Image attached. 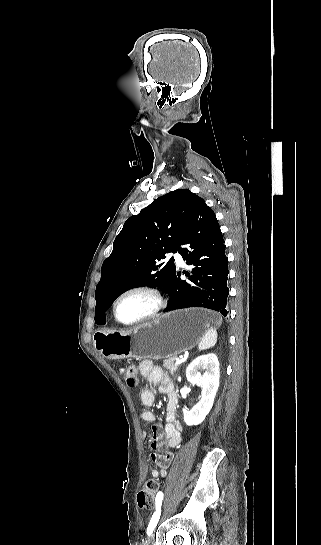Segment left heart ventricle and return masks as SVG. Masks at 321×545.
<instances>
[{
    "label": "left heart ventricle",
    "mask_w": 321,
    "mask_h": 545,
    "mask_svg": "<svg viewBox=\"0 0 321 545\" xmlns=\"http://www.w3.org/2000/svg\"><path fill=\"white\" fill-rule=\"evenodd\" d=\"M154 299L145 293H133L123 297L117 306V314L123 322L136 321L154 308Z\"/></svg>",
    "instance_id": "obj_1"
}]
</instances>
